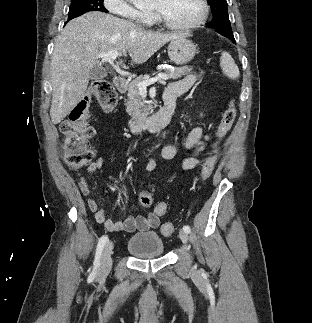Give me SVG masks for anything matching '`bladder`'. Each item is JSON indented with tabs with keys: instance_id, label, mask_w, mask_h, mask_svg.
Masks as SVG:
<instances>
[{
	"instance_id": "1",
	"label": "bladder",
	"mask_w": 312,
	"mask_h": 323,
	"mask_svg": "<svg viewBox=\"0 0 312 323\" xmlns=\"http://www.w3.org/2000/svg\"><path fill=\"white\" fill-rule=\"evenodd\" d=\"M127 250L133 257H159L165 251L164 241L156 232L132 235L127 242Z\"/></svg>"
}]
</instances>
